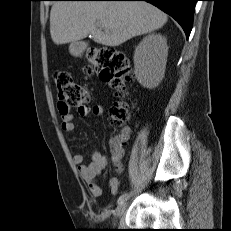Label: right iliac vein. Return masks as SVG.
<instances>
[{"mask_svg":"<svg viewBox=\"0 0 231 231\" xmlns=\"http://www.w3.org/2000/svg\"><path fill=\"white\" fill-rule=\"evenodd\" d=\"M126 208H127V200L118 204V206L116 207L115 212H114V221H116L117 218L122 216V214L125 212Z\"/></svg>","mask_w":231,"mask_h":231,"instance_id":"1","label":"right iliac vein"}]
</instances>
